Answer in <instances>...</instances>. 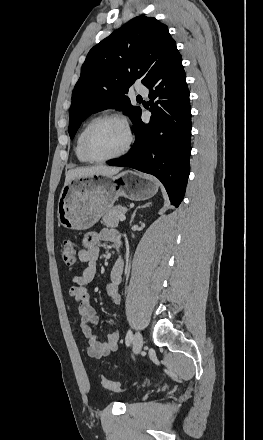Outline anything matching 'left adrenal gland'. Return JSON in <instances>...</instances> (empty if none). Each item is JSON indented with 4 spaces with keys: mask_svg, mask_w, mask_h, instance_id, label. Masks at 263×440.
Listing matches in <instances>:
<instances>
[{
    "mask_svg": "<svg viewBox=\"0 0 263 440\" xmlns=\"http://www.w3.org/2000/svg\"><path fill=\"white\" fill-rule=\"evenodd\" d=\"M150 205H151V202L145 203V204L142 205V206H138V207L134 210V212H133V214H132V216H131L130 224H132V222L134 221V218H135V215H136V212L138 211V209L146 208V207H149Z\"/></svg>",
    "mask_w": 263,
    "mask_h": 440,
    "instance_id": "obj_1",
    "label": "left adrenal gland"
}]
</instances>
